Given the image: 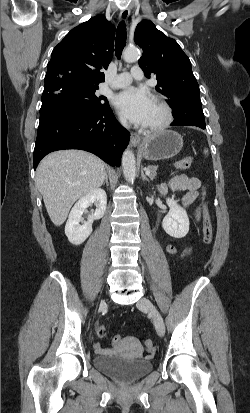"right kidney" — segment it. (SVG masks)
Instances as JSON below:
<instances>
[{
	"label": "right kidney",
	"mask_w": 250,
	"mask_h": 413,
	"mask_svg": "<svg viewBox=\"0 0 250 413\" xmlns=\"http://www.w3.org/2000/svg\"><path fill=\"white\" fill-rule=\"evenodd\" d=\"M93 203L96 205L95 212L89 215L88 220L83 225H80L83 213ZM106 206L107 195L102 189H95L81 197L72 208L65 226V234L69 242L74 245L82 244L92 233L93 221L103 217Z\"/></svg>",
	"instance_id": "right-kidney-1"
}]
</instances>
